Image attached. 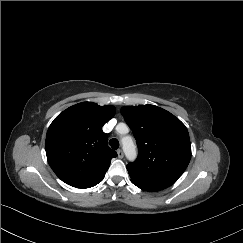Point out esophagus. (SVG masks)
<instances>
[{
  "instance_id": "1",
  "label": "esophagus",
  "mask_w": 243,
  "mask_h": 243,
  "mask_svg": "<svg viewBox=\"0 0 243 243\" xmlns=\"http://www.w3.org/2000/svg\"><path fill=\"white\" fill-rule=\"evenodd\" d=\"M117 154H118V157H119V158H123V157H124V152H123L122 149H118V150H117Z\"/></svg>"
}]
</instances>
